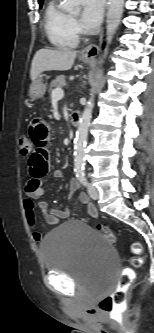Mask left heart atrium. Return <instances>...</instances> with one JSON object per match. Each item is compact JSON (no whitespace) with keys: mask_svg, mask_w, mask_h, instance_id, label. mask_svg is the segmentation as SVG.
I'll use <instances>...</instances> for the list:
<instances>
[{"mask_svg":"<svg viewBox=\"0 0 154 333\" xmlns=\"http://www.w3.org/2000/svg\"><path fill=\"white\" fill-rule=\"evenodd\" d=\"M81 20L88 28H95L101 22L105 0H82Z\"/></svg>","mask_w":154,"mask_h":333,"instance_id":"1","label":"left heart atrium"}]
</instances>
